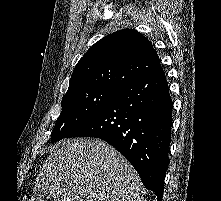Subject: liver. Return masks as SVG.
<instances>
[{
  "label": "liver",
  "instance_id": "obj_1",
  "mask_svg": "<svg viewBox=\"0 0 221 201\" xmlns=\"http://www.w3.org/2000/svg\"><path fill=\"white\" fill-rule=\"evenodd\" d=\"M35 191H47L55 201H143L145 196L128 160L106 142L85 138L53 147Z\"/></svg>",
  "mask_w": 221,
  "mask_h": 201
}]
</instances>
